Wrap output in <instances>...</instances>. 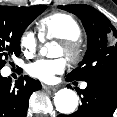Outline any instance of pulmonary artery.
Segmentation results:
<instances>
[{
	"label": "pulmonary artery",
	"instance_id": "obj_1",
	"mask_svg": "<svg viewBox=\"0 0 117 117\" xmlns=\"http://www.w3.org/2000/svg\"><path fill=\"white\" fill-rule=\"evenodd\" d=\"M86 86H87L86 83H83V84L81 85V87H82L83 89L86 88Z\"/></svg>",
	"mask_w": 117,
	"mask_h": 117
}]
</instances>
